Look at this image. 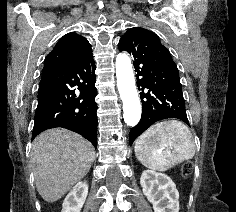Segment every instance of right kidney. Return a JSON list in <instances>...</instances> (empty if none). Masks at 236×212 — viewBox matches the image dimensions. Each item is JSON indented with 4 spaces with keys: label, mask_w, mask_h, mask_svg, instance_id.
Returning a JSON list of instances; mask_svg holds the SVG:
<instances>
[{
    "label": "right kidney",
    "mask_w": 236,
    "mask_h": 212,
    "mask_svg": "<svg viewBox=\"0 0 236 212\" xmlns=\"http://www.w3.org/2000/svg\"><path fill=\"white\" fill-rule=\"evenodd\" d=\"M88 194V184L86 181L78 182L67 194L61 212H80Z\"/></svg>",
    "instance_id": "obj_1"
}]
</instances>
